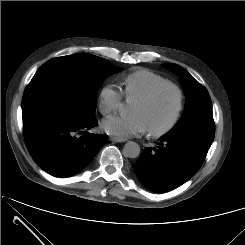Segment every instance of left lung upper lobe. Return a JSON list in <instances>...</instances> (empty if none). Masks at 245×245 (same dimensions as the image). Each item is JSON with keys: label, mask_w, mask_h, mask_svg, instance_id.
<instances>
[{"label": "left lung upper lobe", "mask_w": 245, "mask_h": 245, "mask_svg": "<svg viewBox=\"0 0 245 245\" xmlns=\"http://www.w3.org/2000/svg\"><path fill=\"white\" fill-rule=\"evenodd\" d=\"M175 71L186 94L185 112L179 122L165 136L188 138L210 148L215 134L211 98L207 89L177 64H164Z\"/></svg>", "instance_id": "obj_1"}]
</instances>
